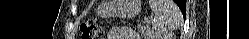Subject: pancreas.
<instances>
[{"mask_svg":"<svg viewBox=\"0 0 249 39\" xmlns=\"http://www.w3.org/2000/svg\"><path fill=\"white\" fill-rule=\"evenodd\" d=\"M138 30L140 31L142 36H149L150 35V30L146 27L143 26H138Z\"/></svg>","mask_w":249,"mask_h":39,"instance_id":"obj_1","label":"pancreas"}]
</instances>
